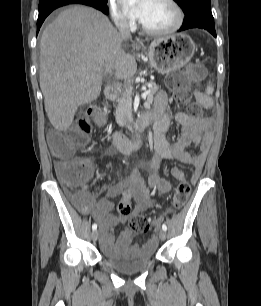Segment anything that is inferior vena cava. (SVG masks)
I'll list each match as a JSON object with an SVG mask.
<instances>
[{
    "label": "inferior vena cava",
    "mask_w": 261,
    "mask_h": 306,
    "mask_svg": "<svg viewBox=\"0 0 261 306\" xmlns=\"http://www.w3.org/2000/svg\"><path fill=\"white\" fill-rule=\"evenodd\" d=\"M114 21H115V25H116L117 29L119 30V34H120L121 38L123 40L131 39V33H130V29H129V25H128L127 21L124 18H115ZM112 70L113 69H112L111 65H109L106 68L107 73H111Z\"/></svg>",
    "instance_id": "inferior-vena-cava-1"
}]
</instances>
